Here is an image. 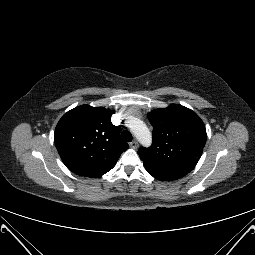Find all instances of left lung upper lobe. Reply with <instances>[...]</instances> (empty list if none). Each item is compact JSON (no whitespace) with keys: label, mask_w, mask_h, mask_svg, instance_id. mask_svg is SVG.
Segmentation results:
<instances>
[{"label":"left lung upper lobe","mask_w":255,"mask_h":255,"mask_svg":"<svg viewBox=\"0 0 255 255\" xmlns=\"http://www.w3.org/2000/svg\"><path fill=\"white\" fill-rule=\"evenodd\" d=\"M153 126V143L138 154L145 169L160 181L176 180L188 174L199 161L206 143V129L199 116L184 106L148 113Z\"/></svg>","instance_id":"obj_1"}]
</instances>
